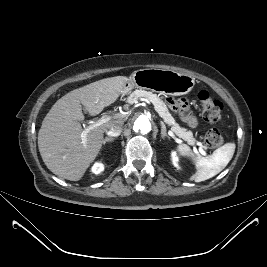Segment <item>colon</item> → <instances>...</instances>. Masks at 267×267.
<instances>
[{"label": "colon", "instance_id": "obj_1", "mask_svg": "<svg viewBox=\"0 0 267 267\" xmlns=\"http://www.w3.org/2000/svg\"><path fill=\"white\" fill-rule=\"evenodd\" d=\"M201 104L203 118L211 123L217 122L222 113V103L214 98L206 90H201L197 94ZM206 146L210 149L218 148L223 143V137L219 129H211L204 137Z\"/></svg>", "mask_w": 267, "mask_h": 267}]
</instances>
